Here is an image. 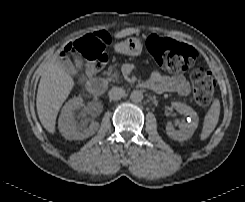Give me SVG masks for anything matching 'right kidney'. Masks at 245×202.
I'll return each instance as SVG.
<instances>
[{
    "instance_id": "ca27d5eb",
    "label": "right kidney",
    "mask_w": 245,
    "mask_h": 202,
    "mask_svg": "<svg viewBox=\"0 0 245 202\" xmlns=\"http://www.w3.org/2000/svg\"><path fill=\"white\" fill-rule=\"evenodd\" d=\"M82 103L83 99L79 96L70 99L62 108L58 128L62 136L68 140H84L98 130L99 124L96 122L87 128V121L78 124L75 120V110L80 108Z\"/></svg>"
}]
</instances>
